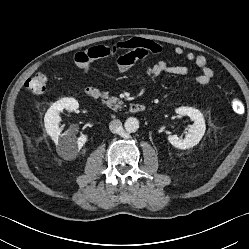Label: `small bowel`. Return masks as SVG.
I'll use <instances>...</instances> for the list:
<instances>
[{
    "mask_svg": "<svg viewBox=\"0 0 249 249\" xmlns=\"http://www.w3.org/2000/svg\"><path fill=\"white\" fill-rule=\"evenodd\" d=\"M111 51L118 53L116 60L117 69L123 73L128 71L136 62L145 59L148 55L161 53L162 46L152 40L135 38L116 42L110 47L97 46L78 52L75 55V63L79 71L86 75L89 73L93 61L110 57L112 55ZM174 52L176 55H183L184 49L178 46L174 49ZM185 59L188 62H193L200 70V74L195 78L196 83L201 86L207 85L212 79L214 72L209 67L206 57L196 55L193 52H187ZM146 72L153 83V88L156 89L157 80L161 76H185L190 73V68L185 65H169L164 60H160L155 64L147 66Z\"/></svg>",
    "mask_w": 249,
    "mask_h": 249,
    "instance_id": "obj_1",
    "label": "small bowel"
}]
</instances>
